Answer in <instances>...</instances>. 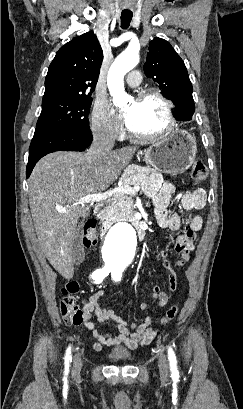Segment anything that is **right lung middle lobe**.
<instances>
[{
    "mask_svg": "<svg viewBox=\"0 0 243 409\" xmlns=\"http://www.w3.org/2000/svg\"><path fill=\"white\" fill-rule=\"evenodd\" d=\"M92 99L73 97L42 102L36 128H52L66 132L90 131L88 114Z\"/></svg>",
    "mask_w": 243,
    "mask_h": 409,
    "instance_id": "obj_1",
    "label": "right lung middle lobe"
}]
</instances>
